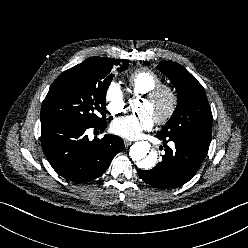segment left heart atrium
<instances>
[{
    "instance_id": "1",
    "label": "left heart atrium",
    "mask_w": 248,
    "mask_h": 248,
    "mask_svg": "<svg viewBox=\"0 0 248 248\" xmlns=\"http://www.w3.org/2000/svg\"><path fill=\"white\" fill-rule=\"evenodd\" d=\"M154 119L147 113L127 115L115 119L111 124V131L123 138L134 140L141 137L144 131L153 127Z\"/></svg>"
}]
</instances>
